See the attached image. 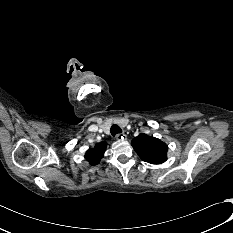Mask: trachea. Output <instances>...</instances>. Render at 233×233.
<instances>
[{
    "label": "trachea",
    "mask_w": 233,
    "mask_h": 233,
    "mask_svg": "<svg viewBox=\"0 0 233 233\" xmlns=\"http://www.w3.org/2000/svg\"><path fill=\"white\" fill-rule=\"evenodd\" d=\"M110 131H111L112 136H115L116 134L122 132L121 128L118 125H116V124H114V125L111 126Z\"/></svg>",
    "instance_id": "trachea-1"
}]
</instances>
